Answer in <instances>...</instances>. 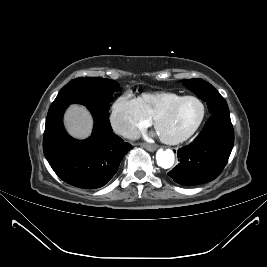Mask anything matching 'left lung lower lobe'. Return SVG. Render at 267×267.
<instances>
[{
    "instance_id": "obj_1",
    "label": "left lung lower lobe",
    "mask_w": 267,
    "mask_h": 267,
    "mask_svg": "<svg viewBox=\"0 0 267 267\" xmlns=\"http://www.w3.org/2000/svg\"><path fill=\"white\" fill-rule=\"evenodd\" d=\"M233 144L229 113L212 114L198 137L178 150L179 164L168 175L183 186L212 181L227 164Z\"/></svg>"
}]
</instances>
